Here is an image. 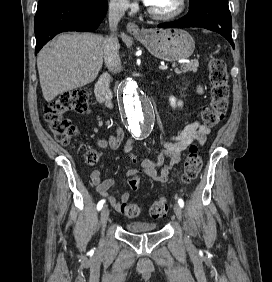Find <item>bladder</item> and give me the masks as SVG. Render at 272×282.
Wrapping results in <instances>:
<instances>
[{"mask_svg": "<svg viewBox=\"0 0 272 282\" xmlns=\"http://www.w3.org/2000/svg\"><path fill=\"white\" fill-rule=\"evenodd\" d=\"M125 228L131 233H147L157 229V224L146 221H130L125 224Z\"/></svg>", "mask_w": 272, "mask_h": 282, "instance_id": "bladder-1", "label": "bladder"}]
</instances>
